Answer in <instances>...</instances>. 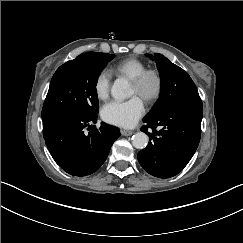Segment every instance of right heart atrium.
Returning a JSON list of instances; mask_svg holds the SVG:
<instances>
[{
  "mask_svg": "<svg viewBox=\"0 0 243 243\" xmlns=\"http://www.w3.org/2000/svg\"><path fill=\"white\" fill-rule=\"evenodd\" d=\"M111 78V71L108 68H103L96 74L93 81V90L98 100H104L109 96Z\"/></svg>",
  "mask_w": 243,
  "mask_h": 243,
  "instance_id": "d8ad5b80",
  "label": "right heart atrium"
}]
</instances>
